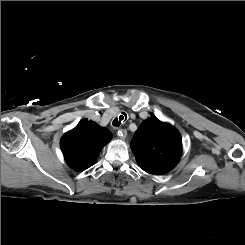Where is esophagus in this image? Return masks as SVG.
I'll return each mask as SVG.
<instances>
[{
    "label": "esophagus",
    "instance_id": "esophagus-1",
    "mask_svg": "<svg viewBox=\"0 0 245 245\" xmlns=\"http://www.w3.org/2000/svg\"><path fill=\"white\" fill-rule=\"evenodd\" d=\"M117 135L121 139H125L127 137V130L126 129H120L117 132Z\"/></svg>",
    "mask_w": 245,
    "mask_h": 245
}]
</instances>
